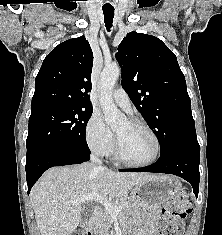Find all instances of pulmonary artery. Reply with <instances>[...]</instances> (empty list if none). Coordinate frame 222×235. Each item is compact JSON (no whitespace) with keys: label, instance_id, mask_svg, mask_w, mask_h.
Here are the masks:
<instances>
[{"label":"pulmonary artery","instance_id":"pulmonary-artery-1","mask_svg":"<svg viewBox=\"0 0 222 235\" xmlns=\"http://www.w3.org/2000/svg\"><path fill=\"white\" fill-rule=\"evenodd\" d=\"M115 103L127 112L132 111L131 101L124 89L118 88L113 92Z\"/></svg>","mask_w":222,"mask_h":235}]
</instances>
